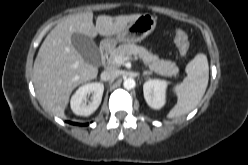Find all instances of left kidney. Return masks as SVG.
Instances as JSON below:
<instances>
[{
	"instance_id": "left-kidney-1",
	"label": "left kidney",
	"mask_w": 248,
	"mask_h": 165,
	"mask_svg": "<svg viewBox=\"0 0 248 165\" xmlns=\"http://www.w3.org/2000/svg\"><path fill=\"white\" fill-rule=\"evenodd\" d=\"M168 82L160 79H149L143 85L144 98L153 109H160L166 101Z\"/></svg>"
}]
</instances>
